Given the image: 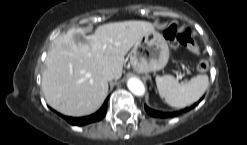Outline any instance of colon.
Wrapping results in <instances>:
<instances>
[{"mask_svg":"<svg viewBox=\"0 0 247 145\" xmlns=\"http://www.w3.org/2000/svg\"><path fill=\"white\" fill-rule=\"evenodd\" d=\"M164 37L176 48L185 47L194 54H199L200 52L198 45L194 41L192 32L189 29L178 32L177 27L172 25L164 31ZM196 68L199 72H206L209 65L205 61H200L197 63Z\"/></svg>","mask_w":247,"mask_h":145,"instance_id":"5ec220e1","label":"colon"}]
</instances>
